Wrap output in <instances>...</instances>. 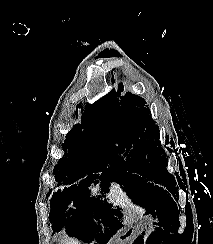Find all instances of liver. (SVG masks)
<instances>
[{
	"mask_svg": "<svg viewBox=\"0 0 213 244\" xmlns=\"http://www.w3.org/2000/svg\"><path fill=\"white\" fill-rule=\"evenodd\" d=\"M90 196L94 198H98L101 196V199H106L109 203H111L114 207H121L124 209V213L127 215V218H131L133 215H138L136 212V206L133 205L131 198L127 195V193L123 190L122 186L117 183H110L109 192L103 193L101 184L98 183L96 185H91L89 187Z\"/></svg>",
	"mask_w": 213,
	"mask_h": 244,
	"instance_id": "6515ba94",
	"label": "liver"
}]
</instances>
